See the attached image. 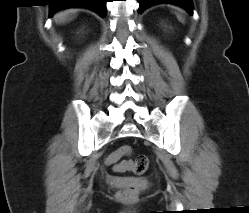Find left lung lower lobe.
Listing matches in <instances>:
<instances>
[{
  "mask_svg": "<svg viewBox=\"0 0 249 213\" xmlns=\"http://www.w3.org/2000/svg\"><path fill=\"white\" fill-rule=\"evenodd\" d=\"M139 2V13H142L146 8L158 4V3H171L175 5H179L190 13L193 10V5L191 0H138Z\"/></svg>",
  "mask_w": 249,
  "mask_h": 213,
  "instance_id": "1",
  "label": "left lung lower lobe"
}]
</instances>
